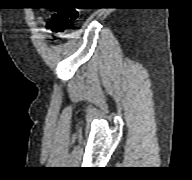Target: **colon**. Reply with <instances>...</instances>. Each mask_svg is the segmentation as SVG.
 Segmentation results:
<instances>
[{
  "label": "colon",
  "instance_id": "colon-1",
  "mask_svg": "<svg viewBox=\"0 0 192 180\" xmlns=\"http://www.w3.org/2000/svg\"><path fill=\"white\" fill-rule=\"evenodd\" d=\"M78 15L77 9H59L52 16L51 27L55 33H63L73 25Z\"/></svg>",
  "mask_w": 192,
  "mask_h": 180
}]
</instances>
